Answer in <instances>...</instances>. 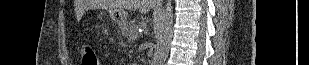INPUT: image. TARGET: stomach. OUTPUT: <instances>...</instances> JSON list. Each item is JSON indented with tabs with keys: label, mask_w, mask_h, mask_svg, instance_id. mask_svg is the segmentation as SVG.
<instances>
[{
	"label": "stomach",
	"mask_w": 309,
	"mask_h": 65,
	"mask_svg": "<svg viewBox=\"0 0 309 65\" xmlns=\"http://www.w3.org/2000/svg\"><path fill=\"white\" fill-rule=\"evenodd\" d=\"M110 17L119 26H126V25H128L127 14L122 9L111 10L110 11Z\"/></svg>",
	"instance_id": "0dacf381"
}]
</instances>
